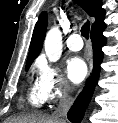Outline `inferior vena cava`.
Masks as SVG:
<instances>
[{"label":"inferior vena cava","mask_w":118,"mask_h":123,"mask_svg":"<svg viewBox=\"0 0 118 123\" xmlns=\"http://www.w3.org/2000/svg\"><path fill=\"white\" fill-rule=\"evenodd\" d=\"M68 91H69V86L66 85L62 91L60 102L53 113V117L59 120L60 122H65L63 118L66 116L72 104V98L71 96L68 95Z\"/></svg>","instance_id":"obj_1"}]
</instances>
